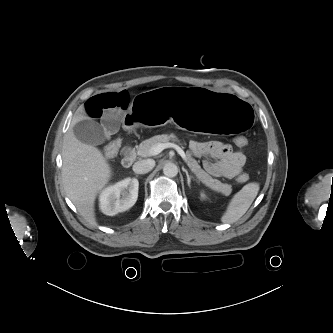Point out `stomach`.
I'll use <instances>...</instances> for the list:
<instances>
[{"label":"stomach","instance_id":"stomach-1","mask_svg":"<svg viewBox=\"0 0 333 333\" xmlns=\"http://www.w3.org/2000/svg\"><path fill=\"white\" fill-rule=\"evenodd\" d=\"M132 108L128 116L135 126L161 127L172 122L192 132L241 137L254 124V112L248 102L185 86L137 94Z\"/></svg>","mask_w":333,"mask_h":333}]
</instances>
